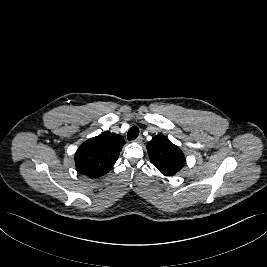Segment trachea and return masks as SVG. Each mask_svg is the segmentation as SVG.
I'll return each instance as SVG.
<instances>
[{"label": "trachea", "mask_w": 267, "mask_h": 267, "mask_svg": "<svg viewBox=\"0 0 267 267\" xmlns=\"http://www.w3.org/2000/svg\"><path fill=\"white\" fill-rule=\"evenodd\" d=\"M139 135V129L137 126H133L129 129L128 133H127V139L129 141H132L134 139H136Z\"/></svg>", "instance_id": "3493384b"}]
</instances>
